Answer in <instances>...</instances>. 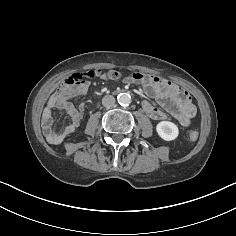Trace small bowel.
Here are the masks:
<instances>
[{
    "label": "small bowel",
    "mask_w": 236,
    "mask_h": 236,
    "mask_svg": "<svg viewBox=\"0 0 236 236\" xmlns=\"http://www.w3.org/2000/svg\"><path fill=\"white\" fill-rule=\"evenodd\" d=\"M92 71L85 73L86 77L91 76ZM75 74V73H74ZM66 77L59 85V88L51 95L42 113V129L46 140L51 144H59L66 137L74 133L79 127L84 109L88 102L81 103L75 108L71 100L83 97L87 94L89 83L86 81L73 82V75ZM126 83H141L150 96H154L162 109L153 105L149 100L142 101V108L150 118L156 121H164L174 118L181 126H189L191 119L196 114V108L187 92L159 76H143L137 82L131 81L128 76ZM54 109L63 110L70 119V123L60 129L53 128Z\"/></svg>",
    "instance_id": "small-bowel-1"
}]
</instances>
